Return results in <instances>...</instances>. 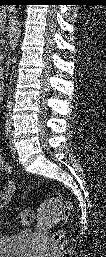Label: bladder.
<instances>
[{
    "instance_id": "bladder-1",
    "label": "bladder",
    "mask_w": 106,
    "mask_h": 257,
    "mask_svg": "<svg viewBox=\"0 0 106 257\" xmlns=\"http://www.w3.org/2000/svg\"><path fill=\"white\" fill-rule=\"evenodd\" d=\"M33 233L24 230L14 235L0 238L1 257H27L30 252Z\"/></svg>"
}]
</instances>
